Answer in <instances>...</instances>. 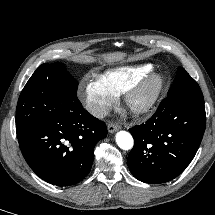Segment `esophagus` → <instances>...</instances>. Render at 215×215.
Wrapping results in <instances>:
<instances>
[{
  "mask_svg": "<svg viewBox=\"0 0 215 215\" xmlns=\"http://www.w3.org/2000/svg\"><path fill=\"white\" fill-rule=\"evenodd\" d=\"M107 128H108L109 133H114V132L118 131L121 128V126L118 124L109 123Z\"/></svg>",
  "mask_w": 215,
  "mask_h": 215,
  "instance_id": "obj_1",
  "label": "esophagus"
}]
</instances>
